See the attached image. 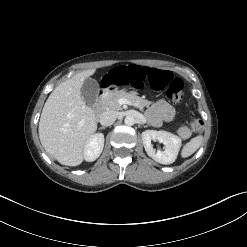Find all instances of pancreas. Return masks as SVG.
I'll list each match as a JSON object with an SVG mask.
<instances>
[{"label": "pancreas", "instance_id": "1", "mask_svg": "<svg viewBox=\"0 0 247 247\" xmlns=\"http://www.w3.org/2000/svg\"><path fill=\"white\" fill-rule=\"evenodd\" d=\"M120 98H125L133 105L138 107L140 110H143L144 107L148 106L150 102L146 99H143L137 96L135 93H127L124 91H116L113 93H108L103 95V103L108 109L112 110H121L122 106L118 103ZM177 133L180 135L181 138L187 139L191 136V131L187 126H181Z\"/></svg>", "mask_w": 247, "mask_h": 247}]
</instances>
